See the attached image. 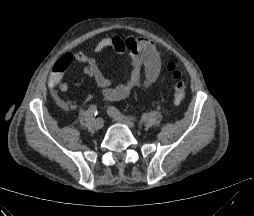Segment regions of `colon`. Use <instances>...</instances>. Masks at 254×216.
<instances>
[{"mask_svg":"<svg viewBox=\"0 0 254 216\" xmlns=\"http://www.w3.org/2000/svg\"><path fill=\"white\" fill-rule=\"evenodd\" d=\"M56 65H59L61 68H66L65 63L57 62ZM55 65V66H56ZM167 71L171 74L172 79L174 80V88H173V99L176 104H180L184 101L186 97V85L183 80L182 72L177 68L175 63L169 62L167 63Z\"/></svg>","mask_w":254,"mask_h":216,"instance_id":"1","label":"colon"}]
</instances>
